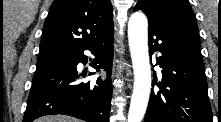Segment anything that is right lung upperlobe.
<instances>
[{"mask_svg": "<svg viewBox=\"0 0 221 122\" xmlns=\"http://www.w3.org/2000/svg\"><path fill=\"white\" fill-rule=\"evenodd\" d=\"M113 32L110 0H54L37 60L66 58Z\"/></svg>", "mask_w": 221, "mask_h": 122, "instance_id": "right-lung-upper-lobe-1", "label": "right lung upper lobe"}]
</instances>
